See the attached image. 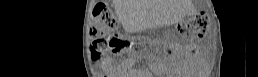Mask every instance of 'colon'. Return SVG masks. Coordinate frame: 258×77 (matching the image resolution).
Segmentation results:
<instances>
[{"instance_id": "5ec220e1", "label": "colon", "mask_w": 258, "mask_h": 77, "mask_svg": "<svg viewBox=\"0 0 258 77\" xmlns=\"http://www.w3.org/2000/svg\"><path fill=\"white\" fill-rule=\"evenodd\" d=\"M118 26L117 20L111 10L106 6L96 7L93 11L90 36L93 40L91 52L94 59H98L103 50L113 52L122 50L127 46L126 42L115 34ZM209 27V16L200 13L190 23L182 24L179 32L186 38L204 37Z\"/></svg>"}]
</instances>
